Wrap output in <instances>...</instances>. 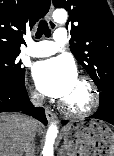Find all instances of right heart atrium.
Masks as SVG:
<instances>
[{"label":"right heart atrium","instance_id":"right-heart-atrium-1","mask_svg":"<svg viewBox=\"0 0 114 156\" xmlns=\"http://www.w3.org/2000/svg\"><path fill=\"white\" fill-rule=\"evenodd\" d=\"M30 96H31V99L34 102H37L38 103V102H40L42 100L41 94L38 91L34 90V89H31Z\"/></svg>","mask_w":114,"mask_h":156}]
</instances>
